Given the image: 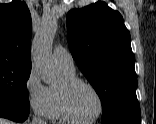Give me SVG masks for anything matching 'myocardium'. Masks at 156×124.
I'll return each mask as SVG.
<instances>
[{
    "instance_id": "obj_1",
    "label": "myocardium",
    "mask_w": 156,
    "mask_h": 124,
    "mask_svg": "<svg viewBox=\"0 0 156 124\" xmlns=\"http://www.w3.org/2000/svg\"><path fill=\"white\" fill-rule=\"evenodd\" d=\"M77 85H85L88 88H90L94 94L97 96L98 102H99V110L97 114L90 118V119H82L78 117L74 111L72 110L69 102V94L72 88H74ZM57 93H58V99L60 108L63 112V114L66 116V118L69 121L79 123V124H89L97 121L104 113L105 110V102L103 99V96L101 95L98 88L91 82H89L86 79L79 78V77H65L62 82L57 86Z\"/></svg>"
}]
</instances>
